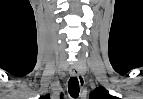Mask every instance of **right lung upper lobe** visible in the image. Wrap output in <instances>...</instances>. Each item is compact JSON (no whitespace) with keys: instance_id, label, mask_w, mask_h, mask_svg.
Instances as JSON below:
<instances>
[{"instance_id":"cb5924a9","label":"right lung upper lobe","mask_w":143,"mask_h":99,"mask_svg":"<svg viewBox=\"0 0 143 99\" xmlns=\"http://www.w3.org/2000/svg\"><path fill=\"white\" fill-rule=\"evenodd\" d=\"M40 99H50L49 96H44V97H41Z\"/></svg>"}]
</instances>
